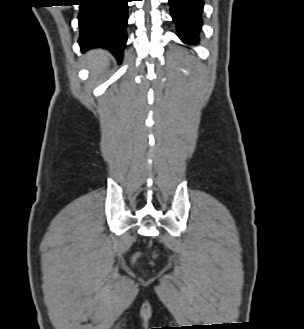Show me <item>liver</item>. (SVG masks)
<instances>
[{"label": "liver", "mask_w": 304, "mask_h": 329, "mask_svg": "<svg viewBox=\"0 0 304 329\" xmlns=\"http://www.w3.org/2000/svg\"><path fill=\"white\" fill-rule=\"evenodd\" d=\"M86 62L91 75L97 78L109 65L108 53L101 49L90 51L86 54Z\"/></svg>", "instance_id": "1"}]
</instances>
